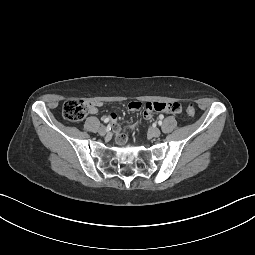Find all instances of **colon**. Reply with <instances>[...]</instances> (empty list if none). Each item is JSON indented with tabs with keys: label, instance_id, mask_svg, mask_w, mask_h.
Here are the masks:
<instances>
[{
	"label": "colon",
	"instance_id": "5ec220e1",
	"mask_svg": "<svg viewBox=\"0 0 255 255\" xmlns=\"http://www.w3.org/2000/svg\"><path fill=\"white\" fill-rule=\"evenodd\" d=\"M62 113L64 118L68 121L79 122L86 117L88 113V106L84 101L79 99L68 100L63 106ZM186 113L189 117H193L195 115V109L191 104L187 106Z\"/></svg>",
	"mask_w": 255,
	"mask_h": 255
}]
</instances>
